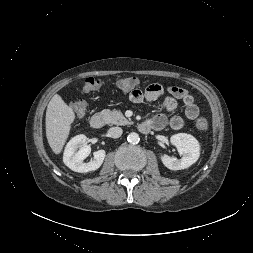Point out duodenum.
I'll list each match as a JSON object with an SVG mask.
<instances>
[{
  "mask_svg": "<svg viewBox=\"0 0 253 253\" xmlns=\"http://www.w3.org/2000/svg\"><path fill=\"white\" fill-rule=\"evenodd\" d=\"M90 125L94 129H100L105 125V117L101 113H95L90 119ZM138 129L147 133L152 129V124L149 121L139 124Z\"/></svg>",
  "mask_w": 253,
  "mask_h": 253,
  "instance_id": "1",
  "label": "duodenum"
}]
</instances>
